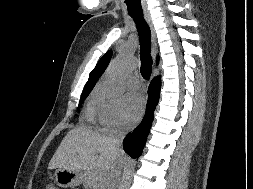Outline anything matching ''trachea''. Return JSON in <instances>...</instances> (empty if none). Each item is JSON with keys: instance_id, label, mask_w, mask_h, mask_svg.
<instances>
[{"instance_id": "obj_1", "label": "trachea", "mask_w": 253, "mask_h": 189, "mask_svg": "<svg viewBox=\"0 0 253 189\" xmlns=\"http://www.w3.org/2000/svg\"><path fill=\"white\" fill-rule=\"evenodd\" d=\"M130 16L136 23L140 39L141 75L148 80L152 71L151 31L142 14H130Z\"/></svg>"}]
</instances>
